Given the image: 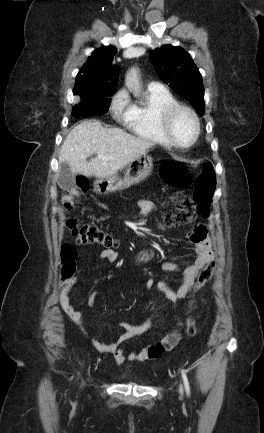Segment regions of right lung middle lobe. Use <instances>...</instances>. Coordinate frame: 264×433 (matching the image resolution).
Returning <instances> with one entry per match:
<instances>
[{
    "label": "right lung middle lobe",
    "mask_w": 264,
    "mask_h": 433,
    "mask_svg": "<svg viewBox=\"0 0 264 433\" xmlns=\"http://www.w3.org/2000/svg\"><path fill=\"white\" fill-rule=\"evenodd\" d=\"M112 93L101 96L79 98L73 106L72 114L76 117H89L94 114H103L108 111L110 101L107 99Z\"/></svg>",
    "instance_id": "dd1d6c3e"
}]
</instances>
